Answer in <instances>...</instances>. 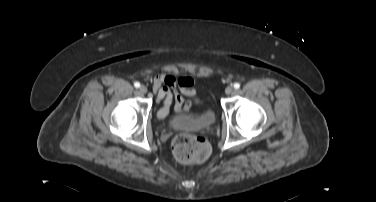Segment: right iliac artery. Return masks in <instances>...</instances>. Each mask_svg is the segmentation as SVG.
Masks as SVG:
<instances>
[{
	"instance_id": "obj_1",
	"label": "right iliac artery",
	"mask_w": 376,
	"mask_h": 202,
	"mask_svg": "<svg viewBox=\"0 0 376 202\" xmlns=\"http://www.w3.org/2000/svg\"><path fill=\"white\" fill-rule=\"evenodd\" d=\"M134 86H135L136 88H139V87H140V83H139V82H135V83H134Z\"/></svg>"
}]
</instances>
